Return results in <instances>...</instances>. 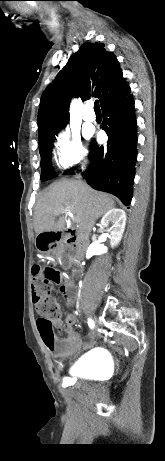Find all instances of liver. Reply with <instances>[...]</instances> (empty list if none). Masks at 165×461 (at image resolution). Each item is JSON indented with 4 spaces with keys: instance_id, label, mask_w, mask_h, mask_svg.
<instances>
[{
    "instance_id": "6515ba94",
    "label": "liver",
    "mask_w": 165,
    "mask_h": 461,
    "mask_svg": "<svg viewBox=\"0 0 165 461\" xmlns=\"http://www.w3.org/2000/svg\"><path fill=\"white\" fill-rule=\"evenodd\" d=\"M115 206L107 194L97 192L79 180H61L51 184L38 200L34 212L37 235L50 231H63L65 217L72 213L78 225L77 236L87 240L98 218ZM60 216L56 221L55 217Z\"/></svg>"
}]
</instances>
